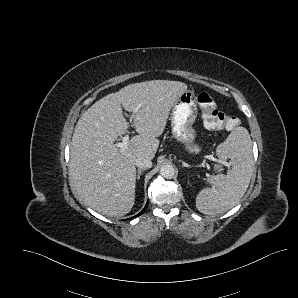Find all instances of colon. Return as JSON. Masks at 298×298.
I'll return each mask as SVG.
<instances>
[{"label": "colon", "mask_w": 298, "mask_h": 298, "mask_svg": "<svg viewBox=\"0 0 298 298\" xmlns=\"http://www.w3.org/2000/svg\"><path fill=\"white\" fill-rule=\"evenodd\" d=\"M197 102L201 110L204 126L210 130H232L238 125V119L218 110L212 96L199 93Z\"/></svg>", "instance_id": "colon-1"}]
</instances>
